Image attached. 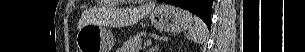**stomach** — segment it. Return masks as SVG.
<instances>
[{
	"mask_svg": "<svg viewBox=\"0 0 305 52\" xmlns=\"http://www.w3.org/2000/svg\"><path fill=\"white\" fill-rule=\"evenodd\" d=\"M149 19L156 29L168 33L185 31L194 21L190 12L167 4L156 6L149 13ZM76 45L79 52H110L114 39L110 30L92 23L78 30Z\"/></svg>",
	"mask_w": 305,
	"mask_h": 52,
	"instance_id": "0dacf381",
	"label": "stomach"
}]
</instances>
